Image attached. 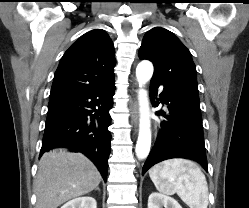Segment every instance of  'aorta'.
Returning <instances> with one entry per match:
<instances>
[{
  "label": "aorta",
  "mask_w": 249,
  "mask_h": 208,
  "mask_svg": "<svg viewBox=\"0 0 249 208\" xmlns=\"http://www.w3.org/2000/svg\"><path fill=\"white\" fill-rule=\"evenodd\" d=\"M153 75V65L150 61H141L136 68V77L139 83L140 125L136 143V156L144 159L148 156L151 147V130L149 118V102L147 92L142 88Z\"/></svg>",
  "instance_id": "aorta-1"
}]
</instances>
